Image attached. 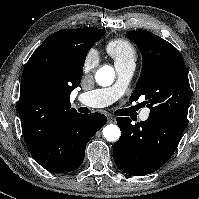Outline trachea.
Masks as SVG:
<instances>
[{"label":"trachea","instance_id":"trachea-1","mask_svg":"<svg viewBox=\"0 0 199 199\" xmlns=\"http://www.w3.org/2000/svg\"><path fill=\"white\" fill-rule=\"evenodd\" d=\"M83 109H84V107H82V108L80 109V111L83 112V111H84Z\"/></svg>","mask_w":199,"mask_h":199}]
</instances>
